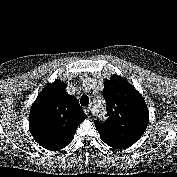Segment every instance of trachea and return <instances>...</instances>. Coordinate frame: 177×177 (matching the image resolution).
Instances as JSON below:
<instances>
[{"mask_svg":"<svg viewBox=\"0 0 177 177\" xmlns=\"http://www.w3.org/2000/svg\"><path fill=\"white\" fill-rule=\"evenodd\" d=\"M80 103L82 106H86L89 103V98L87 95H82L80 98Z\"/></svg>","mask_w":177,"mask_h":177,"instance_id":"trachea-1","label":"trachea"}]
</instances>
